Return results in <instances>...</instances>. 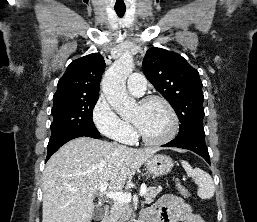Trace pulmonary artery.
<instances>
[{"label":"pulmonary artery","mask_w":257,"mask_h":222,"mask_svg":"<svg viewBox=\"0 0 257 222\" xmlns=\"http://www.w3.org/2000/svg\"><path fill=\"white\" fill-rule=\"evenodd\" d=\"M129 92L135 96H141L146 90V79L142 74H132L127 80Z\"/></svg>","instance_id":"e3ab8cb5"}]
</instances>
